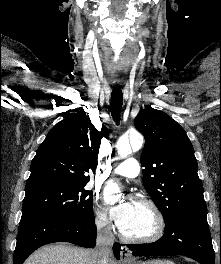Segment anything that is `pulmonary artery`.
I'll return each mask as SVG.
<instances>
[{
  "instance_id": "e3ab8cb5",
  "label": "pulmonary artery",
  "mask_w": 221,
  "mask_h": 264,
  "mask_svg": "<svg viewBox=\"0 0 221 264\" xmlns=\"http://www.w3.org/2000/svg\"><path fill=\"white\" fill-rule=\"evenodd\" d=\"M140 172V166L136 159L128 158L122 163H120L113 171L115 175L134 178Z\"/></svg>"
}]
</instances>
